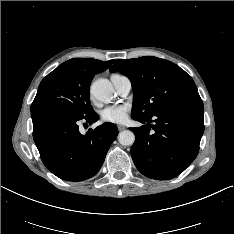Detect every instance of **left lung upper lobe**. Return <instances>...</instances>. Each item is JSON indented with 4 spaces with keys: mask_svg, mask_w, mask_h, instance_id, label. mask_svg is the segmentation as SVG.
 Returning a JSON list of instances; mask_svg holds the SVG:
<instances>
[{
    "mask_svg": "<svg viewBox=\"0 0 234 234\" xmlns=\"http://www.w3.org/2000/svg\"><path fill=\"white\" fill-rule=\"evenodd\" d=\"M127 76L134 91L132 118H149L181 102L199 98L192 78L176 64L152 56L119 59L110 68Z\"/></svg>",
    "mask_w": 234,
    "mask_h": 234,
    "instance_id": "1",
    "label": "left lung upper lobe"
}]
</instances>
